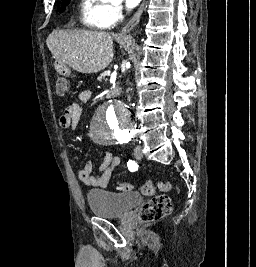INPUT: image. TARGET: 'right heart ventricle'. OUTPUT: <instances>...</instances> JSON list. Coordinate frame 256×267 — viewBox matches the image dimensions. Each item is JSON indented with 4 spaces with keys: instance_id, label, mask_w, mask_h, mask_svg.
Segmentation results:
<instances>
[{
    "instance_id": "right-heart-ventricle-1",
    "label": "right heart ventricle",
    "mask_w": 256,
    "mask_h": 267,
    "mask_svg": "<svg viewBox=\"0 0 256 267\" xmlns=\"http://www.w3.org/2000/svg\"><path fill=\"white\" fill-rule=\"evenodd\" d=\"M107 2L108 1H102L101 3H94V2L87 3V9L89 11V18L86 21V24L90 28L99 27L97 25V21L99 18V9H100V7L107 6ZM65 28H71V27H65Z\"/></svg>"
}]
</instances>
